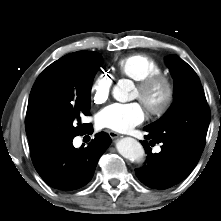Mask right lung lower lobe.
Instances as JSON below:
<instances>
[{"label": "right lung lower lobe", "instance_id": "1", "mask_svg": "<svg viewBox=\"0 0 221 221\" xmlns=\"http://www.w3.org/2000/svg\"><path fill=\"white\" fill-rule=\"evenodd\" d=\"M88 124L83 134H91ZM111 138L100 132L86 148H74L72 140L30 148L32 162L41 178L51 187L70 191L86 185L94 174L99 158L108 148Z\"/></svg>", "mask_w": 221, "mask_h": 221}]
</instances>
